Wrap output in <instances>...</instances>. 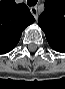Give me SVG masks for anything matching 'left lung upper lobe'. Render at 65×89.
<instances>
[{
    "instance_id": "5c2ea615",
    "label": "left lung upper lobe",
    "mask_w": 65,
    "mask_h": 89,
    "mask_svg": "<svg viewBox=\"0 0 65 89\" xmlns=\"http://www.w3.org/2000/svg\"><path fill=\"white\" fill-rule=\"evenodd\" d=\"M44 6L38 24L53 49L65 50V0H46Z\"/></svg>"
}]
</instances>
